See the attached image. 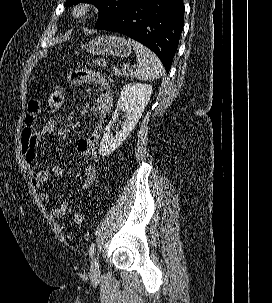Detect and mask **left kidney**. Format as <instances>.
<instances>
[{
  "label": "left kidney",
  "mask_w": 272,
  "mask_h": 303,
  "mask_svg": "<svg viewBox=\"0 0 272 303\" xmlns=\"http://www.w3.org/2000/svg\"><path fill=\"white\" fill-rule=\"evenodd\" d=\"M152 91V86L145 83H129L123 86L117 103V109L107 125L100 142V155L109 156L124 142L141 118ZM120 110L126 113L125 119L121 129L113 137L110 134L111 128L117 122Z\"/></svg>",
  "instance_id": "left-kidney-1"
}]
</instances>
